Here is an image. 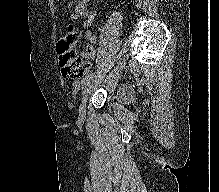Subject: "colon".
<instances>
[{
    "mask_svg": "<svg viewBox=\"0 0 219 192\" xmlns=\"http://www.w3.org/2000/svg\"><path fill=\"white\" fill-rule=\"evenodd\" d=\"M76 40V32L69 26L58 43L61 73L70 81L80 79L85 70V63L75 50Z\"/></svg>",
    "mask_w": 219,
    "mask_h": 192,
    "instance_id": "5ec220e1",
    "label": "colon"
}]
</instances>
